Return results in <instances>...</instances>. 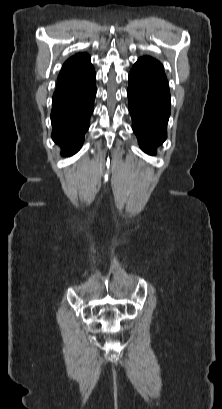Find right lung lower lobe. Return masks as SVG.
<instances>
[{"label": "right lung lower lobe", "instance_id": "obj_1", "mask_svg": "<svg viewBox=\"0 0 222 409\" xmlns=\"http://www.w3.org/2000/svg\"><path fill=\"white\" fill-rule=\"evenodd\" d=\"M60 80L69 81L76 88L53 95L52 139L61 147L63 156H71L81 148L89 128L96 95V73L92 68L86 73L60 76Z\"/></svg>", "mask_w": 222, "mask_h": 409}]
</instances>
